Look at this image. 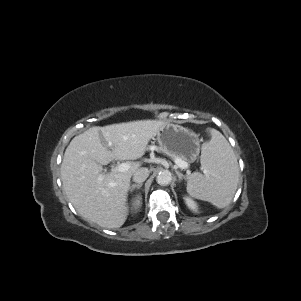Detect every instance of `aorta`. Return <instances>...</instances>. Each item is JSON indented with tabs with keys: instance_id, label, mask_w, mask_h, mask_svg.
Masks as SVG:
<instances>
[{
	"instance_id": "aorta-1",
	"label": "aorta",
	"mask_w": 301,
	"mask_h": 301,
	"mask_svg": "<svg viewBox=\"0 0 301 301\" xmlns=\"http://www.w3.org/2000/svg\"><path fill=\"white\" fill-rule=\"evenodd\" d=\"M156 181L159 185H168L172 181V175L168 170H162L158 173Z\"/></svg>"
}]
</instances>
